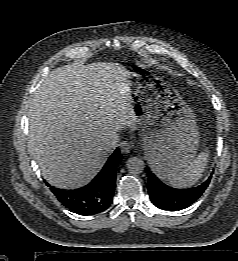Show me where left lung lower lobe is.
I'll return each mask as SVG.
<instances>
[{"label":"left lung lower lobe","instance_id":"obj_1","mask_svg":"<svg viewBox=\"0 0 238 261\" xmlns=\"http://www.w3.org/2000/svg\"><path fill=\"white\" fill-rule=\"evenodd\" d=\"M211 180V176L201 185L189 189L172 188L150 170L148 172V193L152 203L164 210H181L194 203L206 190Z\"/></svg>","mask_w":238,"mask_h":261}]
</instances>
